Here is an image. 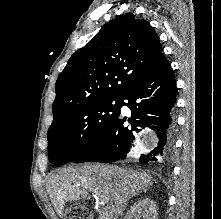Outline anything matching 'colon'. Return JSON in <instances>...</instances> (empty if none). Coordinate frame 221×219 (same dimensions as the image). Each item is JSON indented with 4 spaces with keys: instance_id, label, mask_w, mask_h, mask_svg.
Returning <instances> with one entry per match:
<instances>
[{
    "instance_id": "obj_1",
    "label": "colon",
    "mask_w": 221,
    "mask_h": 219,
    "mask_svg": "<svg viewBox=\"0 0 221 219\" xmlns=\"http://www.w3.org/2000/svg\"><path fill=\"white\" fill-rule=\"evenodd\" d=\"M66 219H93V218L87 210L79 206H70L66 210Z\"/></svg>"
}]
</instances>
